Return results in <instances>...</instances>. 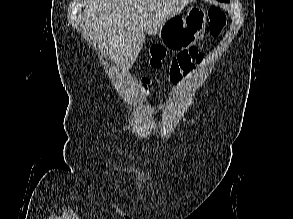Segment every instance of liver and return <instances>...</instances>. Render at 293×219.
<instances>
[{
    "instance_id": "6515ba94",
    "label": "liver",
    "mask_w": 293,
    "mask_h": 219,
    "mask_svg": "<svg viewBox=\"0 0 293 219\" xmlns=\"http://www.w3.org/2000/svg\"><path fill=\"white\" fill-rule=\"evenodd\" d=\"M194 0H86L83 34L123 70H129L145 42Z\"/></svg>"
}]
</instances>
